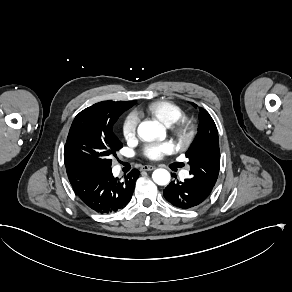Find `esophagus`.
<instances>
[{
    "instance_id": "34e87169",
    "label": "esophagus",
    "mask_w": 292,
    "mask_h": 292,
    "mask_svg": "<svg viewBox=\"0 0 292 292\" xmlns=\"http://www.w3.org/2000/svg\"><path fill=\"white\" fill-rule=\"evenodd\" d=\"M154 169H155V167L152 166V165H143V166L141 167V170H143V171H152V170H154Z\"/></svg>"
}]
</instances>
